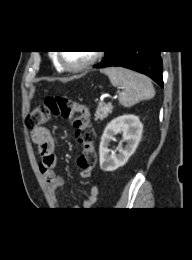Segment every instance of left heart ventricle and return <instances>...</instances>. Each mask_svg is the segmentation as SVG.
<instances>
[{
    "label": "left heart ventricle",
    "instance_id": "1",
    "mask_svg": "<svg viewBox=\"0 0 192 260\" xmlns=\"http://www.w3.org/2000/svg\"><path fill=\"white\" fill-rule=\"evenodd\" d=\"M63 58L65 62L69 65L76 66L87 61L93 52L90 51H66L63 52Z\"/></svg>",
    "mask_w": 192,
    "mask_h": 260
}]
</instances>
